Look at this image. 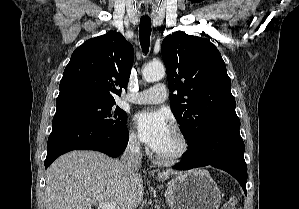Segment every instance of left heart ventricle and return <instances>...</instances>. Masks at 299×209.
I'll return each instance as SVG.
<instances>
[{"mask_svg": "<svg viewBox=\"0 0 299 209\" xmlns=\"http://www.w3.org/2000/svg\"><path fill=\"white\" fill-rule=\"evenodd\" d=\"M179 146L178 139L174 135V133H169L168 137L165 139V141L155 150V152L159 154H170L177 150Z\"/></svg>", "mask_w": 299, "mask_h": 209, "instance_id": "1", "label": "left heart ventricle"}]
</instances>
